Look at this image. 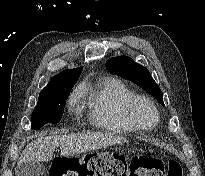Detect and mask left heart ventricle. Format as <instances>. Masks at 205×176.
<instances>
[{
	"label": "left heart ventricle",
	"instance_id": "1",
	"mask_svg": "<svg viewBox=\"0 0 205 176\" xmlns=\"http://www.w3.org/2000/svg\"><path fill=\"white\" fill-rule=\"evenodd\" d=\"M136 116L143 125H152L156 120L154 112L143 103L137 107Z\"/></svg>",
	"mask_w": 205,
	"mask_h": 176
}]
</instances>
